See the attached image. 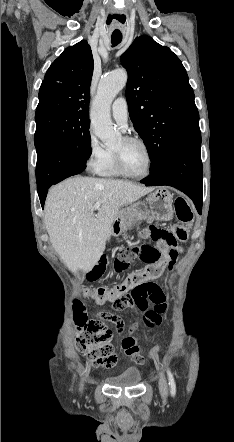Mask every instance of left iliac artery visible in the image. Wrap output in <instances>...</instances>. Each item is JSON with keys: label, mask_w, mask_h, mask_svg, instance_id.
I'll return each mask as SVG.
<instances>
[{"label": "left iliac artery", "mask_w": 234, "mask_h": 442, "mask_svg": "<svg viewBox=\"0 0 234 442\" xmlns=\"http://www.w3.org/2000/svg\"><path fill=\"white\" fill-rule=\"evenodd\" d=\"M167 374H168V380H169L171 395L175 396V394H176V384H175L174 377H173L170 369H167Z\"/></svg>", "instance_id": "1"}]
</instances>
